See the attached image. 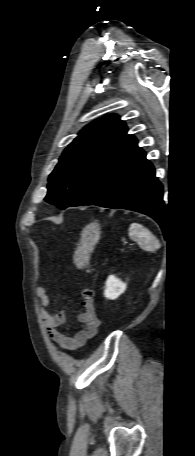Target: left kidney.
I'll return each mask as SVG.
<instances>
[{"instance_id": "1", "label": "left kidney", "mask_w": 195, "mask_h": 456, "mask_svg": "<svg viewBox=\"0 0 195 456\" xmlns=\"http://www.w3.org/2000/svg\"><path fill=\"white\" fill-rule=\"evenodd\" d=\"M126 283L114 275H110L106 281L104 296L107 299L114 300L119 297L126 290Z\"/></svg>"}]
</instances>
